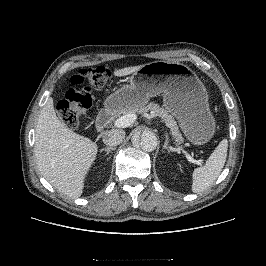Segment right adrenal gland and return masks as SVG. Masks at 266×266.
I'll return each instance as SVG.
<instances>
[{"label": "right adrenal gland", "instance_id": "2a0ac1e0", "mask_svg": "<svg viewBox=\"0 0 266 266\" xmlns=\"http://www.w3.org/2000/svg\"><path fill=\"white\" fill-rule=\"evenodd\" d=\"M115 149H116L115 147H106V148L101 149V152L105 151L106 155H108L112 150H115Z\"/></svg>", "mask_w": 266, "mask_h": 266}]
</instances>
